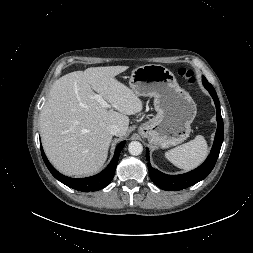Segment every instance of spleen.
I'll list each match as a JSON object with an SVG mask.
<instances>
[{
    "instance_id": "3e777b00",
    "label": "spleen",
    "mask_w": 253,
    "mask_h": 253,
    "mask_svg": "<svg viewBox=\"0 0 253 253\" xmlns=\"http://www.w3.org/2000/svg\"><path fill=\"white\" fill-rule=\"evenodd\" d=\"M207 155V142L201 135L165 153L166 158L172 164L186 171L198 167Z\"/></svg>"
}]
</instances>
